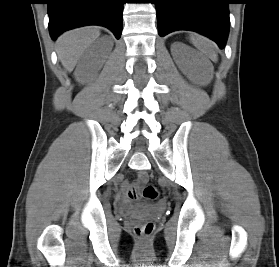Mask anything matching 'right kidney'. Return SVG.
Listing matches in <instances>:
<instances>
[{
    "instance_id": "right-kidney-1",
    "label": "right kidney",
    "mask_w": 279,
    "mask_h": 267,
    "mask_svg": "<svg viewBox=\"0 0 279 267\" xmlns=\"http://www.w3.org/2000/svg\"><path fill=\"white\" fill-rule=\"evenodd\" d=\"M82 68H84V65H83V64L80 66V70H81Z\"/></svg>"
}]
</instances>
